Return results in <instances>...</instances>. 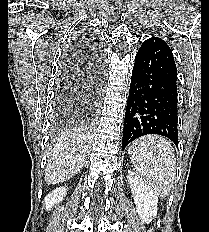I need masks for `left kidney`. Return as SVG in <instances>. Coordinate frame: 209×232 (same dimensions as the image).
Masks as SVG:
<instances>
[{
  "label": "left kidney",
  "mask_w": 209,
  "mask_h": 232,
  "mask_svg": "<svg viewBox=\"0 0 209 232\" xmlns=\"http://www.w3.org/2000/svg\"><path fill=\"white\" fill-rule=\"evenodd\" d=\"M127 178L138 215L143 222H151L156 217L158 210L157 191L134 172L129 171Z\"/></svg>",
  "instance_id": "1"
}]
</instances>
